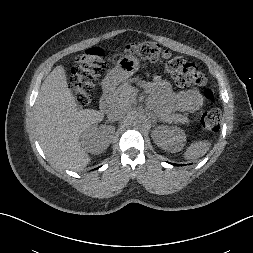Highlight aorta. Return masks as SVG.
Here are the masks:
<instances>
[{
  "instance_id": "1",
  "label": "aorta",
  "mask_w": 253,
  "mask_h": 253,
  "mask_svg": "<svg viewBox=\"0 0 253 253\" xmlns=\"http://www.w3.org/2000/svg\"><path fill=\"white\" fill-rule=\"evenodd\" d=\"M133 120L135 124H143L146 121V116L142 113L135 112L133 114Z\"/></svg>"
}]
</instances>
